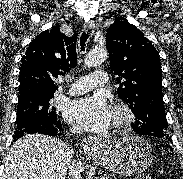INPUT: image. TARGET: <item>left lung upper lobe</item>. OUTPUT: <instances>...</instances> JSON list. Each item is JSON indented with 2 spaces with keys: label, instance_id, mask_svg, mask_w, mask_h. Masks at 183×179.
<instances>
[{
  "label": "left lung upper lobe",
  "instance_id": "obj_1",
  "mask_svg": "<svg viewBox=\"0 0 183 179\" xmlns=\"http://www.w3.org/2000/svg\"><path fill=\"white\" fill-rule=\"evenodd\" d=\"M110 69L118 75V96L136 116L137 134L166 138L167 119L162 99L161 62L144 34L127 20L118 19L106 33Z\"/></svg>",
  "mask_w": 183,
  "mask_h": 179
}]
</instances>
